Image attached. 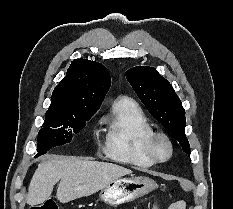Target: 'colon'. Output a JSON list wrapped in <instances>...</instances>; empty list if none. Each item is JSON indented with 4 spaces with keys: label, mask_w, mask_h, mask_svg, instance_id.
<instances>
[{
    "label": "colon",
    "mask_w": 233,
    "mask_h": 209,
    "mask_svg": "<svg viewBox=\"0 0 233 209\" xmlns=\"http://www.w3.org/2000/svg\"><path fill=\"white\" fill-rule=\"evenodd\" d=\"M31 209H58L57 203L54 199H47L44 202L34 205ZM153 209H159L158 207H154Z\"/></svg>",
    "instance_id": "obj_1"
}]
</instances>
